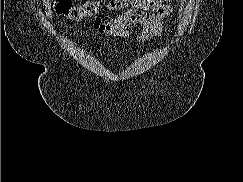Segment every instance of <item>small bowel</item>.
Here are the masks:
<instances>
[{
	"mask_svg": "<svg viewBox=\"0 0 243 182\" xmlns=\"http://www.w3.org/2000/svg\"><path fill=\"white\" fill-rule=\"evenodd\" d=\"M171 12L169 0H133L130 9L109 20L96 18L93 27L99 34L126 39L130 27L137 24L142 28L138 41L144 43L162 34Z\"/></svg>",
	"mask_w": 243,
	"mask_h": 182,
	"instance_id": "obj_1",
	"label": "small bowel"
}]
</instances>
